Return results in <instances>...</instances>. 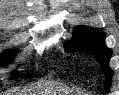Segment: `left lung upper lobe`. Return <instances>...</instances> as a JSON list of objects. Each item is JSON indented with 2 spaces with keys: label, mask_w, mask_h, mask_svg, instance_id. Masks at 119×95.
<instances>
[{
  "label": "left lung upper lobe",
  "mask_w": 119,
  "mask_h": 95,
  "mask_svg": "<svg viewBox=\"0 0 119 95\" xmlns=\"http://www.w3.org/2000/svg\"><path fill=\"white\" fill-rule=\"evenodd\" d=\"M104 39L105 33L101 30L87 26H79L73 38L65 43V50L67 52L82 50L94 54L105 73V90L108 92L113 75V71L109 67L112 50L105 46Z\"/></svg>",
  "instance_id": "1"
}]
</instances>
